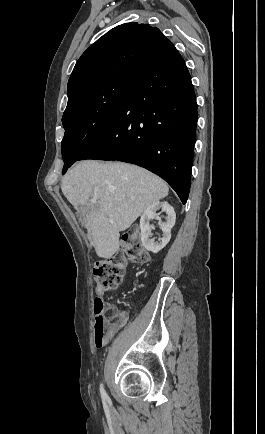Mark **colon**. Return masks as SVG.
Wrapping results in <instances>:
<instances>
[{"instance_id":"obj_1","label":"colon","mask_w":265,"mask_h":434,"mask_svg":"<svg viewBox=\"0 0 265 434\" xmlns=\"http://www.w3.org/2000/svg\"><path fill=\"white\" fill-rule=\"evenodd\" d=\"M131 243H133V241H131ZM130 254L132 260L135 262L145 260V255L137 247H132ZM125 263L126 255L124 252H118L111 259L98 261L93 266L98 294L95 297L98 301L94 304L95 312L93 316V328L94 331H97L94 341L95 347H108L111 338L109 325L113 327L117 323L116 320L113 319L115 317L114 314L111 315L112 319L110 320L108 314H103L105 305L99 300L102 299L101 295L103 293L113 291L118 287L123 277Z\"/></svg>"}]
</instances>
